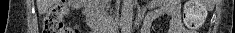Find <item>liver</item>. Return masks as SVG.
I'll return each mask as SVG.
<instances>
[{
	"instance_id": "liver-1",
	"label": "liver",
	"mask_w": 235,
	"mask_h": 33,
	"mask_svg": "<svg viewBox=\"0 0 235 33\" xmlns=\"http://www.w3.org/2000/svg\"><path fill=\"white\" fill-rule=\"evenodd\" d=\"M39 14H44L53 4L54 0H36Z\"/></svg>"
}]
</instances>
